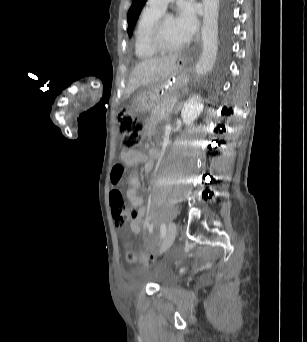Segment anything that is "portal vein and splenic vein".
Returning <instances> with one entry per match:
<instances>
[{
  "label": "portal vein and splenic vein",
  "instance_id": "obj_1",
  "mask_svg": "<svg viewBox=\"0 0 307 342\" xmlns=\"http://www.w3.org/2000/svg\"><path fill=\"white\" fill-rule=\"evenodd\" d=\"M174 108V105L173 104H170L169 107L167 108L168 110H172Z\"/></svg>",
  "mask_w": 307,
  "mask_h": 342
}]
</instances>
